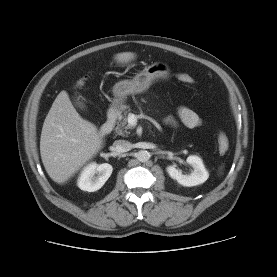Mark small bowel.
<instances>
[{
	"instance_id": "c3829d8e",
	"label": "small bowel",
	"mask_w": 277,
	"mask_h": 277,
	"mask_svg": "<svg viewBox=\"0 0 277 277\" xmlns=\"http://www.w3.org/2000/svg\"><path fill=\"white\" fill-rule=\"evenodd\" d=\"M177 117L180 122L188 128H196L202 124V119L192 109L186 106H180L177 110ZM165 123L170 126H177L178 122L173 116H168Z\"/></svg>"
}]
</instances>
